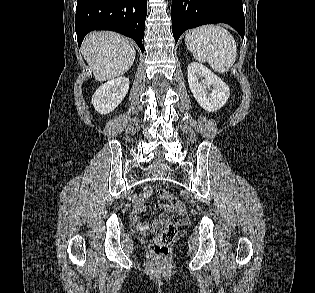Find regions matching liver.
Masks as SVG:
<instances>
[{
    "mask_svg": "<svg viewBox=\"0 0 315 293\" xmlns=\"http://www.w3.org/2000/svg\"><path fill=\"white\" fill-rule=\"evenodd\" d=\"M81 50L97 81H108L125 74L136 55L129 39L107 31L90 33Z\"/></svg>",
    "mask_w": 315,
    "mask_h": 293,
    "instance_id": "obj_1",
    "label": "liver"
}]
</instances>
